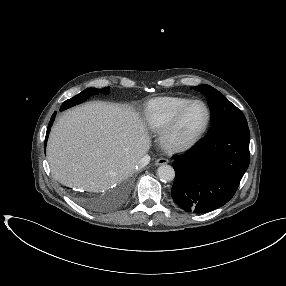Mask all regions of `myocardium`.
<instances>
[{
  "instance_id": "1",
  "label": "myocardium",
  "mask_w": 286,
  "mask_h": 286,
  "mask_svg": "<svg viewBox=\"0 0 286 286\" xmlns=\"http://www.w3.org/2000/svg\"><path fill=\"white\" fill-rule=\"evenodd\" d=\"M195 104H201L204 106L206 110V121L202 129L197 132L192 137L178 141L175 139V132L180 125L182 119L184 118L185 114L188 112V110ZM211 122V111L208 107V105L201 101V100H192L189 102L175 117L174 119L161 131L160 134V141L162 145L173 151H181L190 148L194 144H196L207 132L209 125Z\"/></svg>"
}]
</instances>
